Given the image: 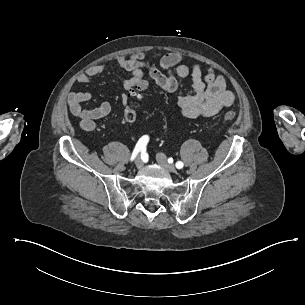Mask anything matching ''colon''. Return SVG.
I'll list each match as a JSON object with an SVG mask.
<instances>
[{
  "label": "colon",
  "mask_w": 305,
  "mask_h": 305,
  "mask_svg": "<svg viewBox=\"0 0 305 305\" xmlns=\"http://www.w3.org/2000/svg\"><path fill=\"white\" fill-rule=\"evenodd\" d=\"M147 88V83L145 81H140L137 83V85H134L131 87L130 92L132 96L128 98V101L130 104L128 105L127 113L124 115V121L127 123H133L136 120V113L134 112L135 105L133 102L135 101V98H137L140 95V92L145 91ZM236 116V113L234 111H228L225 112L223 115V118L225 120H231Z\"/></svg>",
  "instance_id": "colon-1"
}]
</instances>
